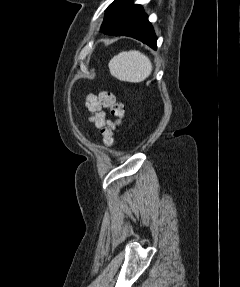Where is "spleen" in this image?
I'll use <instances>...</instances> for the list:
<instances>
[{
    "mask_svg": "<svg viewBox=\"0 0 240 287\" xmlns=\"http://www.w3.org/2000/svg\"><path fill=\"white\" fill-rule=\"evenodd\" d=\"M110 73L120 81L139 83L150 76V59L137 50L122 51L114 56L109 64Z\"/></svg>",
    "mask_w": 240,
    "mask_h": 287,
    "instance_id": "spleen-1",
    "label": "spleen"
}]
</instances>
